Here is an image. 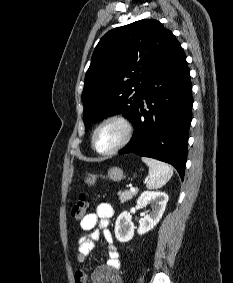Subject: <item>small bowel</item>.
<instances>
[{"label":"small bowel","mask_w":233,"mask_h":283,"mask_svg":"<svg viewBox=\"0 0 233 283\" xmlns=\"http://www.w3.org/2000/svg\"><path fill=\"white\" fill-rule=\"evenodd\" d=\"M114 214L113 208L108 203L97 205L95 212L87 214L81 221L80 226L85 232L78 239L77 261L84 262L94 248V242L99 239V231H102L103 238L107 245L108 260L106 264L97 267L92 275V283H123L120 275V254L114 245V239L110 231V221ZM75 283H86L87 276L83 271H76L74 274Z\"/></svg>","instance_id":"c3829d8e"}]
</instances>
